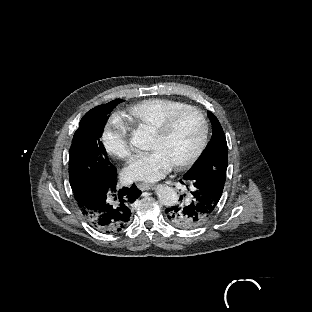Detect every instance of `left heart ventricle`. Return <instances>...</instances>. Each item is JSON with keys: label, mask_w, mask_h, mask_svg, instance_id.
I'll use <instances>...</instances> for the list:
<instances>
[{"label": "left heart ventricle", "mask_w": 312, "mask_h": 312, "mask_svg": "<svg viewBox=\"0 0 312 312\" xmlns=\"http://www.w3.org/2000/svg\"><path fill=\"white\" fill-rule=\"evenodd\" d=\"M204 137L203 121L195 113H188L176 119L164 141L168 160L181 164L193 158Z\"/></svg>", "instance_id": "left-heart-ventricle-1"}]
</instances>
